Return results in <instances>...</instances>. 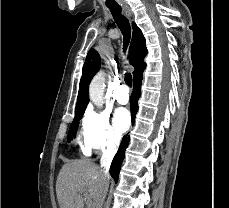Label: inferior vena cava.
Listing matches in <instances>:
<instances>
[{
    "mask_svg": "<svg viewBox=\"0 0 229 208\" xmlns=\"http://www.w3.org/2000/svg\"><path fill=\"white\" fill-rule=\"evenodd\" d=\"M114 156H115V152H114V150H111V148H110V150H106V152H104V154L101 158V170H100L101 180H104V178H105V180H109V168H110V164H111ZM107 188H108V184H105V186L103 188V192H102V194L104 196V200H105V196L107 194ZM104 200H103V202H104Z\"/></svg>",
    "mask_w": 229,
    "mask_h": 208,
    "instance_id": "obj_1",
    "label": "inferior vena cava"
}]
</instances>
